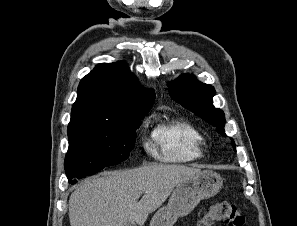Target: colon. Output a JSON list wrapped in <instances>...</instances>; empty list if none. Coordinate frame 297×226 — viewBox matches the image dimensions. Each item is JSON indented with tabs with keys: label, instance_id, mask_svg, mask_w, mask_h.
Listing matches in <instances>:
<instances>
[{
	"label": "colon",
	"instance_id": "colon-1",
	"mask_svg": "<svg viewBox=\"0 0 297 226\" xmlns=\"http://www.w3.org/2000/svg\"><path fill=\"white\" fill-rule=\"evenodd\" d=\"M224 222L227 226H246V218L240 209L231 203H215L197 222L195 226H215Z\"/></svg>",
	"mask_w": 297,
	"mask_h": 226
}]
</instances>
